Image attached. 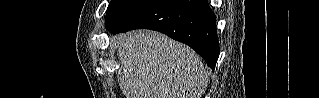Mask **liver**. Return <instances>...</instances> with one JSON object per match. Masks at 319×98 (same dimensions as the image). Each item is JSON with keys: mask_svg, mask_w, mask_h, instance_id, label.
Here are the masks:
<instances>
[{"mask_svg": "<svg viewBox=\"0 0 319 98\" xmlns=\"http://www.w3.org/2000/svg\"><path fill=\"white\" fill-rule=\"evenodd\" d=\"M126 98H201L209 74L190 47L153 31L112 37Z\"/></svg>", "mask_w": 319, "mask_h": 98, "instance_id": "obj_1", "label": "liver"}]
</instances>
